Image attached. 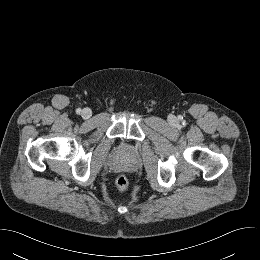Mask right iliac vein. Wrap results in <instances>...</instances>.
<instances>
[{
	"label": "right iliac vein",
	"mask_w": 260,
	"mask_h": 260,
	"mask_svg": "<svg viewBox=\"0 0 260 260\" xmlns=\"http://www.w3.org/2000/svg\"><path fill=\"white\" fill-rule=\"evenodd\" d=\"M92 115V112L89 108H85L81 112V116L83 119H89Z\"/></svg>",
	"instance_id": "obj_1"
}]
</instances>
